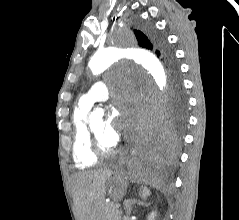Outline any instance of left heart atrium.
I'll return each instance as SVG.
<instances>
[{
	"label": "left heart atrium",
	"mask_w": 239,
	"mask_h": 220,
	"mask_svg": "<svg viewBox=\"0 0 239 220\" xmlns=\"http://www.w3.org/2000/svg\"><path fill=\"white\" fill-rule=\"evenodd\" d=\"M105 123L104 137L112 144H116L121 136V130L127 132L134 126L133 119L128 116L132 112V103L128 99H120Z\"/></svg>",
	"instance_id": "left-heart-atrium-1"
}]
</instances>
